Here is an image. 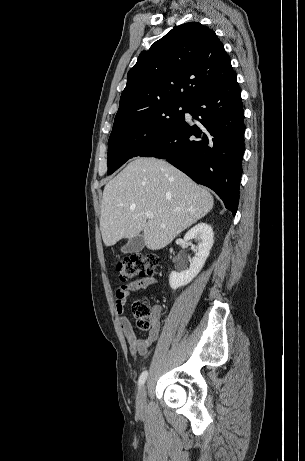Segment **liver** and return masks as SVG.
Instances as JSON below:
<instances>
[{
	"instance_id": "1",
	"label": "liver",
	"mask_w": 305,
	"mask_h": 461,
	"mask_svg": "<svg viewBox=\"0 0 305 461\" xmlns=\"http://www.w3.org/2000/svg\"><path fill=\"white\" fill-rule=\"evenodd\" d=\"M214 199L184 173L156 158L138 157L104 187L100 230L106 246L143 232L158 250L204 217ZM146 212H152L148 219Z\"/></svg>"
}]
</instances>
